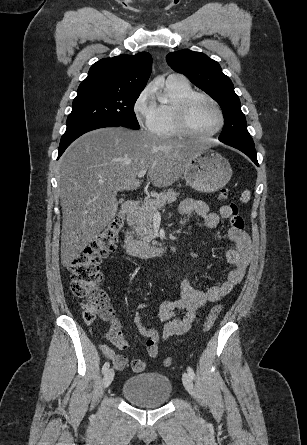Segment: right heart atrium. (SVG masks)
<instances>
[{"instance_id": "right-heart-atrium-1", "label": "right heart atrium", "mask_w": 307, "mask_h": 445, "mask_svg": "<svg viewBox=\"0 0 307 445\" xmlns=\"http://www.w3.org/2000/svg\"><path fill=\"white\" fill-rule=\"evenodd\" d=\"M155 93L146 87L134 101L132 112L138 125L147 131H153L157 124V113L154 107Z\"/></svg>"}]
</instances>
